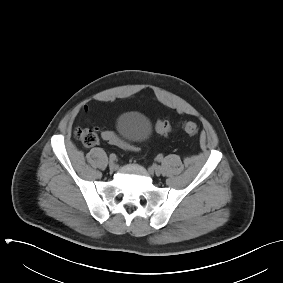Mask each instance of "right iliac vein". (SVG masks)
Returning <instances> with one entry per match:
<instances>
[{
  "instance_id": "obj_1",
  "label": "right iliac vein",
  "mask_w": 283,
  "mask_h": 283,
  "mask_svg": "<svg viewBox=\"0 0 283 283\" xmlns=\"http://www.w3.org/2000/svg\"><path fill=\"white\" fill-rule=\"evenodd\" d=\"M109 168L110 170H114L116 168V164L114 161H109Z\"/></svg>"
}]
</instances>
